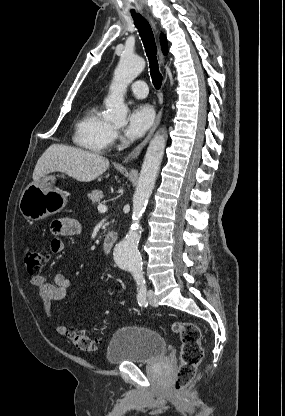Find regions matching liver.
Listing matches in <instances>:
<instances>
[{
	"label": "liver",
	"instance_id": "1",
	"mask_svg": "<svg viewBox=\"0 0 285 416\" xmlns=\"http://www.w3.org/2000/svg\"><path fill=\"white\" fill-rule=\"evenodd\" d=\"M109 168V160L100 154L86 152L62 144H52L39 158L33 172V182H39L46 174L63 172L77 182H92Z\"/></svg>",
	"mask_w": 285,
	"mask_h": 416
}]
</instances>
